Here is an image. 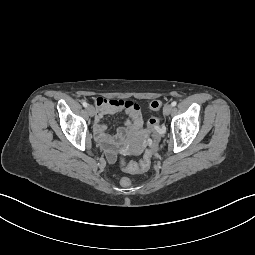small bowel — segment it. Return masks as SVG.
<instances>
[{
  "label": "small bowel",
  "instance_id": "small-bowel-1",
  "mask_svg": "<svg viewBox=\"0 0 255 255\" xmlns=\"http://www.w3.org/2000/svg\"><path fill=\"white\" fill-rule=\"evenodd\" d=\"M95 106L94 133L98 142L106 150L109 159L113 161L116 149L123 143L128 134L134 136L143 135V113L140 106L130 100L98 97L95 100ZM120 112H124L127 115L125 124L119 127L114 135H109L106 125L102 123V119L106 114Z\"/></svg>",
  "mask_w": 255,
  "mask_h": 255
}]
</instances>
